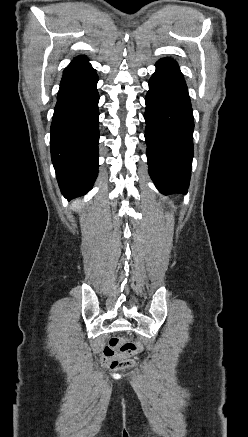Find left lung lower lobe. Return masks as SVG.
I'll return each mask as SVG.
<instances>
[{"label": "left lung lower lobe", "instance_id": "obj_1", "mask_svg": "<svg viewBox=\"0 0 248 437\" xmlns=\"http://www.w3.org/2000/svg\"><path fill=\"white\" fill-rule=\"evenodd\" d=\"M145 102L149 174L162 194H186L194 118L188 88L176 61L164 58L156 63Z\"/></svg>", "mask_w": 248, "mask_h": 437}]
</instances>
